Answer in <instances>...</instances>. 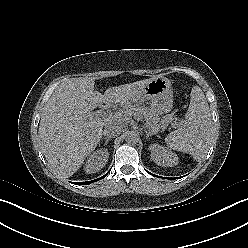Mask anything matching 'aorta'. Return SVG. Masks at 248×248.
I'll return each instance as SVG.
<instances>
[{
  "instance_id": "1",
  "label": "aorta",
  "mask_w": 248,
  "mask_h": 248,
  "mask_svg": "<svg viewBox=\"0 0 248 248\" xmlns=\"http://www.w3.org/2000/svg\"><path fill=\"white\" fill-rule=\"evenodd\" d=\"M125 141L130 144H136L139 141V135L135 131H129L125 135Z\"/></svg>"
}]
</instances>
